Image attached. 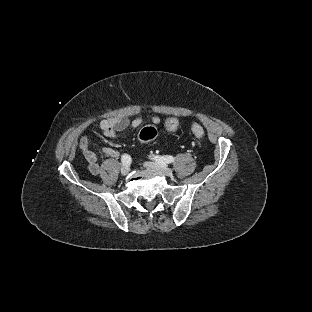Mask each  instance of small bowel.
<instances>
[{
    "label": "small bowel",
    "instance_id": "obj_1",
    "mask_svg": "<svg viewBox=\"0 0 312 312\" xmlns=\"http://www.w3.org/2000/svg\"><path fill=\"white\" fill-rule=\"evenodd\" d=\"M154 124H159L161 119L158 116L152 118ZM142 124L141 118H135L129 120L124 117H115L103 119L99 123V128L102 134L109 138H116L120 132L130 127L132 129H137ZM79 148L82 151L85 159L88 162V168L91 174L98 175L100 172V165L94 151L91 149L90 141L87 137H82L79 140ZM103 153L109 157H117L118 152L111 147H104L102 149Z\"/></svg>",
    "mask_w": 312,
    "mask_h": 312
}]
</instances>
